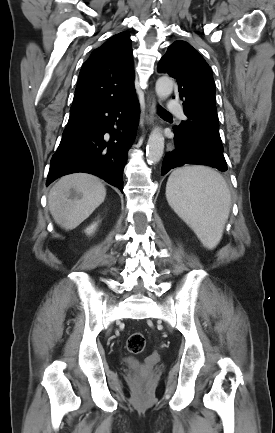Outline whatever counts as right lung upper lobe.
Instances as JSON below:
<instances>
[{
  "label": "right lung upper lobe",
  "mask_w": 275,
  "mask_h": 433,
  "mask_svg": "<svg viewBox=\"0 0 275 433\" xmlns=\"http://www.w3.org/2000/svg\"><path fill=\"white\" fill-rule=\"evenodd\" d=\"M129 37L127 32L116 34L92 52L81 68L70 114L135 95Z\"/></svg>",
  "instance_id": "cb5924a9"
}]
</instances>
